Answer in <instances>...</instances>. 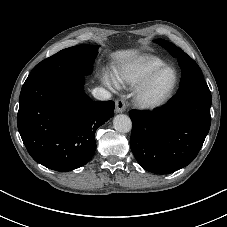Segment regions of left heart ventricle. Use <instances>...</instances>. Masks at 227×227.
<instances>
[{"mask_svg":"<svg viewBox=\"0 0 227 227\" xmlns=\"http://www.w3.org/2000/svg\"><path fill=\"white\" fill-rule=\"evenodd\" d=\"M174 73L171 70H164L154 80L150 91V98H158L166 93L174 82Z\"/></svg>","mask_w":227,"mask_h":227,"instance_id":"left-heart-ventricle-1","label":"left heart ventricle"}]
</instances>
